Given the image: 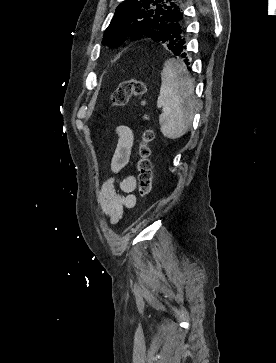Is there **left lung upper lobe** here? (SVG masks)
Masks as SVG:
<instances>
[{
  "mask_svg": "<svg viewBox=\"0 0 276 363\" xmlns=\"http://www.w3.org/2000/svg\"><path fill=\"white\" fill-rule=\"evenodd\" d=\"M183 10L176 0H126L118 6L105 30L103 44L118 47L125 37H151L167 46L169 40L186 37L181 33Z\"/></svg>",
  "mask_w": 276,
  "mask_h": 363,
  "instance_id": "1",
  "label": "left lung upper lobe"
}]
</instances>
